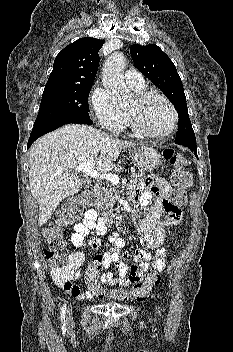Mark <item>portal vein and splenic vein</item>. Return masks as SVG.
I'll list each match as a JSON object with an SVG mask.
<instances>
[{
	"instance_id": "18ae733b",
	"label": "portal vein and splenic vein",
	"mask_w": 233,
	"mask_h": 352,
	"mask_svg": "<svg viewBox=\"0 0 233 352\" xmlns=\"http://www.w3.org/2000/svg\"><path fill=\"white\" fill-rule=\"evenodd\" d=\"M94 165H95V163L93 161L81 163L75 168V172H83L92 178L107 180L110 183H112L113 185H117L119 183L120 178L118 175L112 174V173H101V172L95 171L93 169Z\"/></svg>"
}]
</instances>
